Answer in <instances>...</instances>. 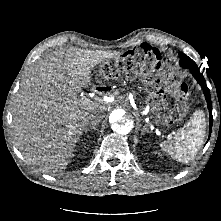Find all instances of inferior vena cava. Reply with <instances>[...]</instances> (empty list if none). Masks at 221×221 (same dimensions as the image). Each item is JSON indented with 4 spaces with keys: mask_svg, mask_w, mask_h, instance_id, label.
I'll return each instance as SVG.
<instances>
[{
    "mask_svg": "<svg viewBox=\"0 0 221 221\" xmlns=\"http://www.w3.org/2000/svg\"><path fill=\"white\" fill-rule=\"evenodd\" d=\"M103 116L100 114L92 115L91 116V121H90V126H96L97 124L100 123L102 120Z\"/></svg>",
    "mask_w": 221,
    "mask_h": 221,
    "instance_id": "inferior-vena-cava-1",
    "label": "inferior vena cava"
}]
</instances>
